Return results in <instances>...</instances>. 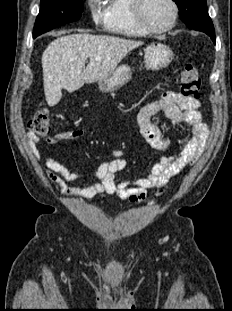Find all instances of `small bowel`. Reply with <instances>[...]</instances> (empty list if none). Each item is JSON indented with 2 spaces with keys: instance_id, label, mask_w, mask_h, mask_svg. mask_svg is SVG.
I'll return each instance as SVG.
<instances>
[{
  "instance_id": "small-bowel-1",
  "label": "small bowel",
  "mask_w": 232,
  "mask_h": 311,
  "mask_svg": "<svg viewBox=\"0 0 232 311\" xmlns=\"http://www.w3.org/2000/svg\"><path fill=\"white\" fill-rule=\"evenodd\" d=\"M200 106L199 100L187 98L174 91H166L158 100L148 103L139 110L137 124L140 133L153 149L165 151L175 142V139L165 137L152 123V116L159 112L164 113L175 125L188 128L190 137L180 151L170 156H161L146 176L132 181L117 182L115 180V174L128 166V161L118 150L111 152L113 160L103 162L96 171L89 175L71 171L51 155L48 146L68 140H80L85 136L83 130L63 132L49 137L43 141L44 147L41 150L39 149L41 140L36 134L28 133L26 140L35 158L37 160L43 158L46 176L64 195L93 198L97 195L115 194L120 199L135 203L145 199L149 189L166 185L169 179L193 165L200 158L209 136L208 126L199 111ZM78 181H90V183L69 185L71 182Z\"/></svg>"
}]
</instances>
